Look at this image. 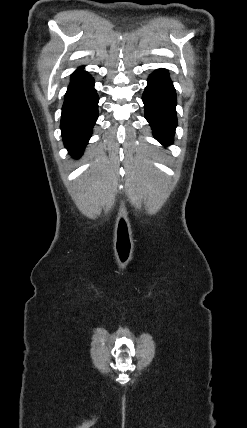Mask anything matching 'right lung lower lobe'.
<instances>
[{"label": "right lung lower lobe", "mask_w": 247, "mask_h": 428, "mask_svg": "<svg viewBox=\"0 0 247 428\" xmlns=\"http://www.w3.org/2000/svg\"><path fill=\"white\" fill-rule=\"evenodd\" d=\"M99 97L94 80L83 68L71 75V82L64 97L61 132L65 147L78 158L87 145L98 118Z\"/></svg>", "instance_id": "98d812e1"}]
</instances>
